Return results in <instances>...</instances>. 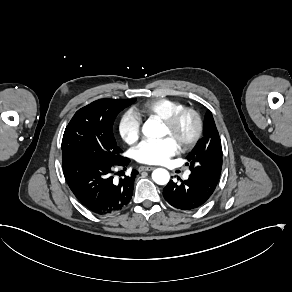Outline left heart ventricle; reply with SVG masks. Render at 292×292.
Instances as JSON below:
<instances>
[{
    "label": "left heart ventricle",
    "mask_w": 292,
    "mask_h": 292,
    "mask_svg": "<svg viewBox=\"0 0 292 292\" xmlns=\"http://www.w3.org/2000/svg\"><path fill=\"white\" fill-rule=\"evenodd\" d=\"M191 128H192V122L190 119H185L182 126H181V129H180V132L182 135L186 136L188 135L190 132H191ZM164 129H165V134L167 135L168 134V128L167 126L164 124Z\"/></svg>",
    "instance_id": "1"
}]
</instances>
